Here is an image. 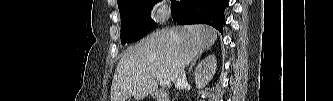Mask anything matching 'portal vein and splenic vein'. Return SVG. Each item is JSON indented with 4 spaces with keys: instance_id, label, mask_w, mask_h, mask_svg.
<instances>
[{
    "instance_id": "obj_1",
    "label": "portal vein and splenic vein",
    "mask_w": 333,
    "mask_h": 101,
    "mask_svg": "<svg viewBox=\"0 0 333 101\" xmlns=\"http://www.w3.org/2000/svg\"><path fill=\"white\" fill-rule=\"evenodd\" d=\"M156 79L158 80V82L160 83V85L166 86L170 84V79L166 76L163 75H158L156 77Z\"/></svg>"
}]
</instances>
